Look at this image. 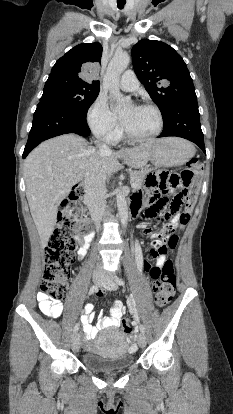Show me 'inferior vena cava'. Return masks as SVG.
Instances as JSON below:
<instances>
[{
    "label": "inferior vena cava",
    "mask_w": 233,
    "mask_h": 414,
    "mask_svg": "<svg viewBox=\"0 0 233 414\" xmlns=\"http://www.w3.org/2000/svg\"><path fill=\"white\" fill-rule=\"evenodd\" d=\"M99 152L111 153L109 146L95 141ZM106 174L99 166V160L94 157L92 163L87 169L84 180V203L88 206L90 215L97 227H99L102 218L105 215L106 206Z\"/></svg>",
    "instance_id": "inferior-vena-cava-1"
}]
</instances>
